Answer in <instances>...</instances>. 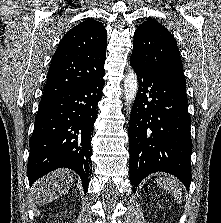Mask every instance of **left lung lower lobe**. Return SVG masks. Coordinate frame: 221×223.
Wrapping results in <instances>:
<instances>
[{
  "mask_svg": "<svg viewBox=\"0 0 221 223\" xmlns=\"http://www.w3.org/2000/svg\"><path fill=\"white\" fill-rule=\"evenodd\" d=\"M130 64L139 82L128 132L132 191L147 175L158 171L173 174L188 189L192 141L186 83Z\"/></svg>",
  "mask_w": 221,
  "mask_h": 223,
  "instance_id": "obj_1",
  "label": "left lung lower lobe"
}]
</instances>
